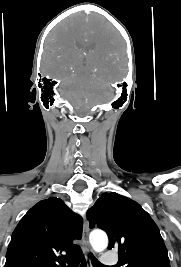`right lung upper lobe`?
Returning <instances> with one entry per match:
<instances>
[{"instance_id": "right-lung-upper-lobe-1", "label": "right lung upper lobe", "mask_w": 181, "mask_h": 267, "mask_svg": "<svg viewBox=\"0 0 181 267\" xmlns=\"http://www.w3.org/2000/svg\"><path fill=\"white\" fill-rule=\"evenodd\" d=\"M82 218L56 197L39 201L12 233L5 267H65L66 257L80 253L72 243L82 236Z\"/></svg>"}]
</instances>
